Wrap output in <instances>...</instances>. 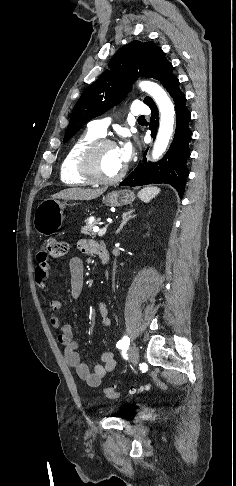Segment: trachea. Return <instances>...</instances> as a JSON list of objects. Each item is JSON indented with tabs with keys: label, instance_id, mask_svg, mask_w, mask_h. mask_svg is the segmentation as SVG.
Listing matches in <instances>:
<instances>
[{
	"label": "trachea",
	"instance_id": "obj_1",
	"mask_svg": "<svg viewBox=\"0 0 236 486\" xmlns=\"http://www.w3.org/2000/svg\"><path fill=\"white\" fill-rule=\"evenodd\" d=\"M139 119H145L144 116H140Z\"/></svg>",
	"mask_w": 236,
	"mask_h": 486
}]
</instances>
